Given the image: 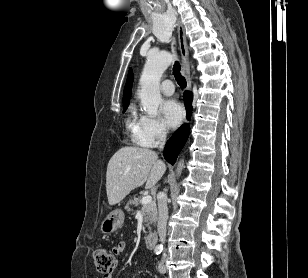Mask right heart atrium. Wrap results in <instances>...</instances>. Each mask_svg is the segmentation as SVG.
I'll list each match as a JSON object with an SVG mask.
<instances>
[{"mask_svg": "<svg viewBox=\"0 0 308 278\" xmlns=\"http://www.w3.org/2000/svg\"><path fill=\"white\" fill-rule=\"evenodd\" d=\"M168 130L157 118L143 116L139 133V144L144 147H155L167 137Z\"/></svg>", "mask_w": 308, "mask_h": 278, "instance_id": "obj_1", "label": "right heart atrium"}]
</instances>
